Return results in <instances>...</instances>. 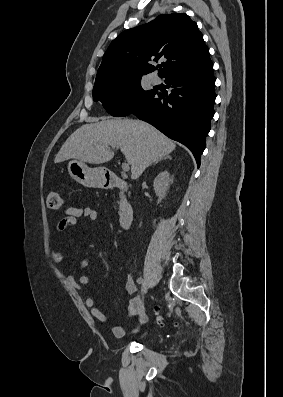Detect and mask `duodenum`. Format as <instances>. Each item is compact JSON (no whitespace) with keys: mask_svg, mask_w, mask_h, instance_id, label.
Here are the masks:
<instances>
[{"mask_svg":"<svg viewBox=\"0 0 283 397\" xmlns=\"http://www.w3.org/2000/svg\"><path fill=\"white\" fill-rule=\"evenodd\" d=\"M105 186L108 188H119L122 190L127 189L126 183L116 175H110L107 177ZM134 219V209L129 202H123L120 206L118 220L119 224L123 229H128Z\"/></svg>","mask_w":283,"mask_h":397,"instance_id":"obj_1","label":"duodenum"}]
</instances>
